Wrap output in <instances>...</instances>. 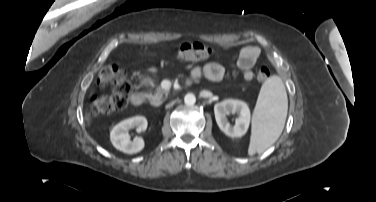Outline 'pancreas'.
<instances>
[{
    "label": "pancreas",
    "instance_id": "obj_1",
    "mask_svg": "<svg viewBox=\"0 0 376 202\" xmlns=\"http://www.w3.org/2000/svg\"><path fill=\"white\" fill-rule=\"evenodd\" d=\"M169 94L168 90H165L161 87H157L154 94H149L147 96L148 100L152 105H160L164 101V97H167Z\"/></svg>",
    "mask_w": 376,
    "mask_h": 202
}]
</instances>
